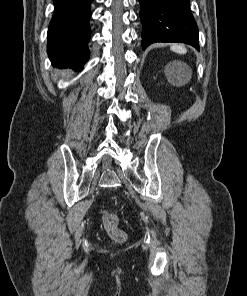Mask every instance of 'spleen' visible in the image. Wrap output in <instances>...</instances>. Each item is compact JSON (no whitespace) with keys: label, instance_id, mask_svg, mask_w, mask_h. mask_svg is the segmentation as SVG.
Wrapping results in <instances>:
<instances>
[{"label":"spleen","instance_id":"1","mask_svg":"<svg viewBox=\"0 0 247 296\" xmlns=\"http://www.w3.org/2000/svg\"><path fill=\"white\" fill-rule=\"evenodd\" d=\"M170 48L172 51L179 53V54H185L187 52L185 47H183L182 45H178V44H172ZM178 69L181 71L184 70V68L182 66H180ZM188 79H189V75L181 78L179 80V83H185Z\"/></svg>","mask_w":247,"mask_h":296}]
</instances>
